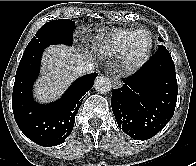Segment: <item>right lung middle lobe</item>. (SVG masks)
Returning <instances> with one entry per match:
<instances>
[{"mask_svg": "<svg viewBox=\"0 0 196 166\" xmlns=\"http://www.w3.org/2000/svg\"><path fill=\"white\" fill-rule=\"evenodd\" d=\"M74 29V21L69 19H59L47 22L38 30L24 52L44 48L53 44L72 45Z\"/></svg>", "mask_w": 196, "mask_h": 166, "instance_id": "obj_1", "label": "right lung middle lobe"}]
</instances>
